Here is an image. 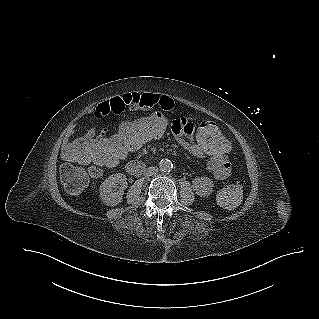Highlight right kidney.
<instances>
[{"label": "right kidney", "mask_w": 319, "mask_h": 319, "mask_svg": "<svg viewBox=\"0 0 319 319\" xmlns=\"http://www.w3.org/2000/svg\"><path fill=\"white\" fill-rule=\"evenodd\" d=\"M127 188V178L117 173L109 176L100 186V198L108 206H116L122 202L124 189Z\"/></svg>", "instance_id": "obj_1"}]
</instances>
